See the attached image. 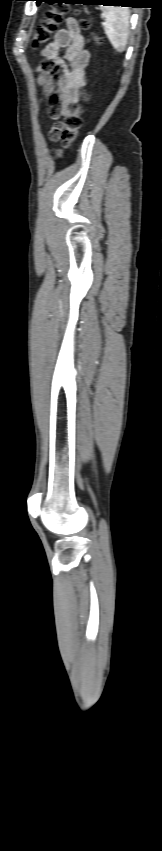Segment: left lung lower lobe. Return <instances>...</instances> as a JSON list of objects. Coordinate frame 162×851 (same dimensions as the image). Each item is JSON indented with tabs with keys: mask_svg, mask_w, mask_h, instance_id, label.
Masks as SVG:
<instances>
[{
	"mask_svg": "<svg viewBox=\"0 0 162 851\" xmlns=\"http://www.w3.org/2000/svg\"><path fill=\"white\" fill-rule=\"evenodd\" d=\"M42 1L47 2V3H55V2H56L55 0H37V4H39V3H40V2H42ZM93 1H94V2H97V3L103 2V3H104V5H105V4H110V5H121L122 7H123V6H126L127 4H132V3H133V0H93ZM80 2H81V1H80ZM80 2H77V1H70V2H66V3H80Z\"/></svg>",
	"mask_w": 162,
	"mask_h": 851,
	"instance_id": "1",
	"label": "left lung lower lobe"
}]
</instances>
